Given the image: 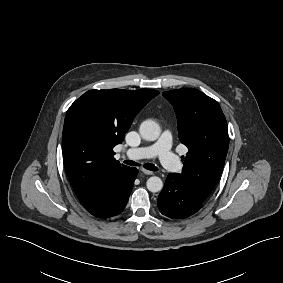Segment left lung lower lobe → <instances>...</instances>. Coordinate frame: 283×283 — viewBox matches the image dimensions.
I'll list each match as a JSON object with an SVG mask.
<instances>
[{"label":"left lung lower lobe","instance_id":"0a47b994","mask_svg":"<svg viewBox=\"0 0 283 283\" xmlns=\"http://www.w3.org/2000/svg\"><path fill=\"white\" fill-rule=\"evenodd\" d=\"M204 201L177 174H169L158 198V208L169 218L182 219L196 213Z\"/></svg>","mask_w":283,"mask_h":283}]
</instances>
